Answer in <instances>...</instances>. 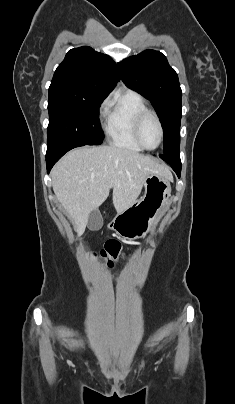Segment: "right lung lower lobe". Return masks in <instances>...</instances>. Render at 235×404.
Segmentation results:
<instances>
[{
	"label": "right lung lower lobe",
	"mask_w": 235,
	"mask_h": 404,
	"mask_svg": "<svg viewBox=\"0 0 235 404\" xmlns=\"http://www.w3.org/2000/svg\"><path fill=\"white\" fill-rule=\"evenodd\" d=\"M85 143H82L77 140H60L48 145L47 153H46V165L47 172L49 173L53 165L69 150L84 146Z\"/></svg>",
	"instance_id": "right-lung-lower-lobe-1"
}]
</instances>
